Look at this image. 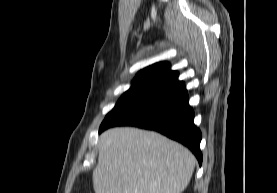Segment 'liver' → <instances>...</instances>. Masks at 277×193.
I'll use <instances>...</instances> for the list:
<instances>
[{
    "instance_id": "1",
    "label": "liver",
    "mask_w": 277,
    "mask_h": 193,
    "mask_svg": "<svg viewBox=\"0 0 277 193\" xmlns=\"http://www.w3.org/2000/svg\"><path fill=\"white\" fill-rule=\"evenodd\" d=\"M98 149L92 175L95 193H181L196 163L181 144L138 128L103 132Z\"/></svg>"
}]
</instances>
